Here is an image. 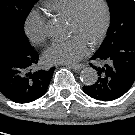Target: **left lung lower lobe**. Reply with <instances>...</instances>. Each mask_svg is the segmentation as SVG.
<instances>
[{
  "label": "left lung lower lobe",
  "mask_w": 135,
  "mask_h": 135,
  "mask_svg": "<svg viewBox=\"0 0 135 135\" xmlns=\"http://www.w3.org/2000/svg\"><path fill=\"white\" fill-rule=\"evenodd\" d=\"M91 60L98 64L94 67L98 79L90 86H83L88 96L112 101L124 95L135 82V38L98 50Z\"/></svg>",
  "instance_id": "1"
}]
</instances>
